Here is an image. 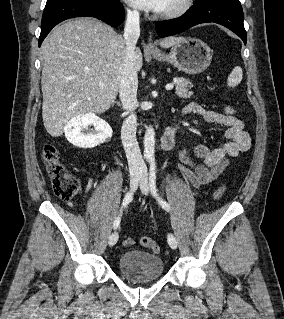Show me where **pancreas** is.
I'll return each mask as SVG.
<instances>
[{
  "label": "pancreas",
  "instance_id": "pancreas-1",
  "mask_svg": "<svg viewBox=\"0 0 284 319\" xmlns=\"http://www.w3.org/2000/svg\"><path fill=\"white\" fill-rule=\"evenodd\" d=\"M192 83L187 78L178 77L176 81L175 93L181 98H189L192 96V92L188 91L192 87Z\"/></svg>",
  "mask_w": 284,
  "mask_h": 319
}]
</instances>
